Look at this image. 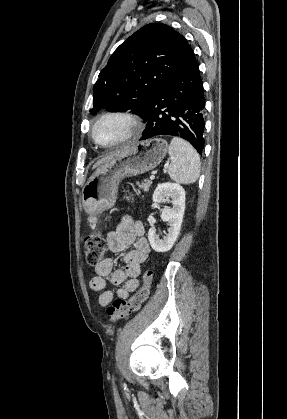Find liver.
Returning <instances> with one entry per match:
<instances>
[{
  "label": "liver",
  "mask_w": 287,
  "mask_h": 419,
  "mask_svg": "<svg viewBox=\"0 0 287 419\" xmlns=\"http://www.w3.org/2000/svg\"><path fill=\"white\" fill-rule=\"evenodd\" d=\"M115 154H116V153H115ZM115 154H110V155H107L106 157H104V158H102V159L98 160V161L94 164L93 168H97V167L101 166L103 163H105L107 160H109V159H110L111 157H113Z\"/></svg>",
  "instance_id": "1"
}]
</instances>
